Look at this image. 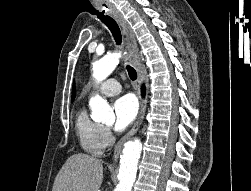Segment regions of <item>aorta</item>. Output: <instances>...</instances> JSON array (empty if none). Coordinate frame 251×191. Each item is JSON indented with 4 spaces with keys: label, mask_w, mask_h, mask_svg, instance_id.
Masks as SVG:
<instances>
[{
    "label": "aorta",
    "mask_w": 251,
    "mask_h": 191,
    "mask_svg": "<svg viewBox=\"0 0 251 191\" xmlns=\"http://www.w3.org/2000/svg\"><path fill=\"white\" fill-rule=\"evenodd\" d=\"M121 56V52H115V54H107V56H104L99 62H94L93 78L97 80L98 84L112 74L113 70L118 66ZM89 105L92 109V119H94V121H108L111 117L114 119L113 109L103 97H91ZM141 149L142 143L140 139H134V141L124 143L118 173L120 179L117 187L118 191H131L136 177Z\"/></svg>",
    "instance_id": "aorta-1"
}]
</instances>
